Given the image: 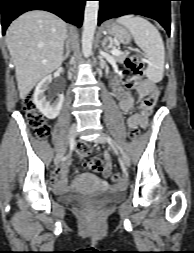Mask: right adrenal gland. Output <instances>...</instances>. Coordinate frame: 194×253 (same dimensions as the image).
<instances>
[{
  "instance_id": "right-adrenal-gland-1",
  "label": "right adrenal gland",
  "mask_w": 194,
  "mask_h": 253,
  "mask_svg": "<svg viewBox=\"0 0 194 253\" xmlns=\"http://www.w3.org/2000/svg\"><path fill=\"white\" fill-rule=\"evenodd\" d=\"M66 54L65 56L63 57V60H66L68 57H69V54H70V44H69V40L66 42Z\"/></svg>"
}]
</instances>
